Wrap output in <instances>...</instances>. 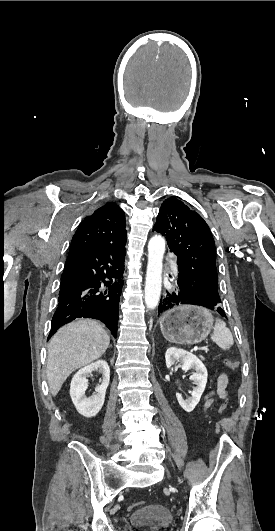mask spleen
<instances>
[{"mask_svg":"<svg viewBox=\"0 0 275 531\" xmlns=\"http://www.w3.org/2000/svg\"><path fill=\"white\" fill-rule=\"evenodd\" d=\"M211 339L216 345H218V347H220V349H224V351L225 349H230V347L234 345L232 333L230 329L226 327V323L221 321V319H216Z\"/></svg>","mask_w":275,"mask_h":531,"instance_id":"1","label":"spleen"}]
</instances>
